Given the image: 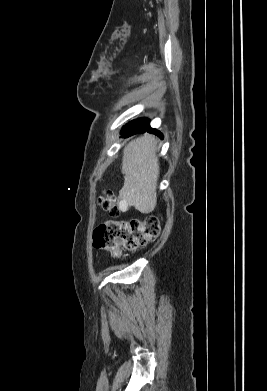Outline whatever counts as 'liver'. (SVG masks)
<instances>
[{
  "label": "liver",
  "instance_id": "6515ba94",
  "mask_svg": "<svg viewBox=\"0 0 267 391\" xmlns=\"http://www.w3.org/2000/svg\"><path fill=\"white\" fill-rule=\"evenodd\" d=\"M157 138L150 134L130 141L123 149L124 186L119 192L122 204L134 206L143 214L152 212L157 204L159 162Z\"/></svg>",
  "mask_w": 267,
  "mask_h": 391
}]
</instances>
